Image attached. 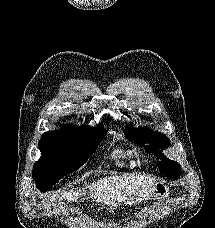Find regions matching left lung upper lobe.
Masks as SVG:
<instances>
[{"mask_svg": "<svg viewBox=\"0 0 215 228\" xmlns=\"http://www.w3.org/2000/svg\"><path fill=\"white\" fill-rule=\"evenodd\" d=\"M124 134L127 138L135 141L139 146H144L148 152H155L157 159H160L159 168L160 172L164 173L168 179L176 180L181 174L180 166L177 162L169 160L164 154L157 151L158 148H165L170 145V140L162 133L155 132L150 128H129L128 126L124 130ZM145 143L149 145L145 146Z\"/></svg>", "mask_w": 215, "mask_h": 228, "instance_id": "left-lung-upper-lobe-1", "label": "left lung upper lobe"}]
</instances>
